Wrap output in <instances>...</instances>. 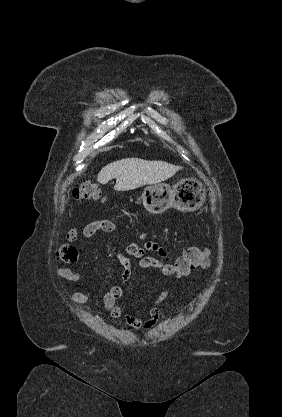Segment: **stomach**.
<instances>
[{
    "mask_svg": "<svg viewBox=\"0 0 282 417\" xmlns=\"http://www.w3.org/2000/svg\"><path fill=\"white\" fill-rule=\"evenodd\" d=\"M205 188L193 178H182L173 186L166 182L145 186L140 200L144 209L152 215H160L167 209H177L181 213L198 211L205 200Z\"/></svg>",
    "mask_w": 282,
    "mask_h": 417,
    "instance_id": "obj_1",
    "label": "stomach"
}]
</instances>
